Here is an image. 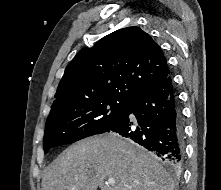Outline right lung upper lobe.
Wrapping results in <instances>:
<instances>
[{"mask_svg":"<svg viewBox=\"0 0 221 190\" xmlns=\"http://www.w3.org/2000/svg\"><path fill=\"white\" fill-rule=\"evenodd\" d=\"M170 74L160 47L139 27L119 29L81 49L66 67L51 111L103 98L129 100Z\"/></svg>","mask_w":221,"mask_h":190,"instance_id":"1","label":"right lung upper lobe"}]
</instances>
